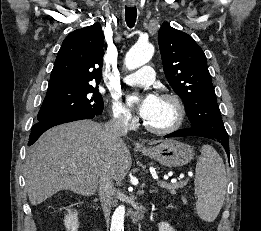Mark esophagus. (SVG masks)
<instances>
[{"label":"esophagus","instance_id":"esophagus-1","mask_svg":"<svg viewBox=\"0 0 261 231\" xmlns=\"http://www.w3.org/2000/svg\"><path fill=\"white\" fill-rule=\"evenodd\" d=\"M128 4L130 7H133L135 5V0H128ZM140 146V145H137Z\"/></svg>","mask_w":261,"mask_h":231}]
</instances>
